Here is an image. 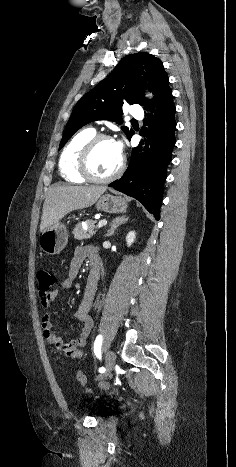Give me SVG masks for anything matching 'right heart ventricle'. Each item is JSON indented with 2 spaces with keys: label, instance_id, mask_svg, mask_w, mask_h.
<instances>
[{
  "label": "right heart ventricle",
  "instance_id": "1",
  "mask_svg": "<svg viewBox=\"0 0 236 467\" xmlns=\"http://www.w3.org/2000/svg\"><path fill=\"white\" fill-rule=\"evenodd\" d=\"M94 135L96 132L93 128H86L77 133L65 146L59 159V171L65 181L69 183L86 181L78 171V156L84 144Z\"/></svg>",
  "mask_w": 236,
  "mask_h": 467
}]
</instances>
